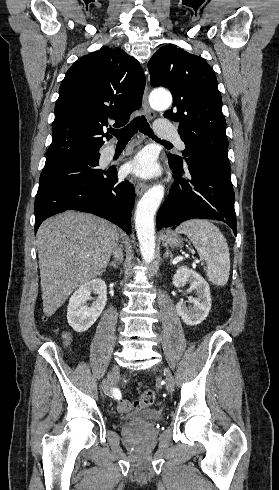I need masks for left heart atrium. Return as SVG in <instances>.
Returning a JSON list of instances; mask_svg holds the SVG:
<instances>
[{
    "mask_svg": "<svg viewBox=\"0 0 279 490\" xmlns=\"http://www.w3.org/2000/svg\"><path fill=\"white\" fill-rule=\"evenodd\" d=\"M125 169L127 173L142 180H151L158 177L161 168L154 156L148 151H142L130 160Z\"/></svg>",
    "mask_w": 279,
    "mask_h": 490,
    "instance_id": "1",
    "label": "left heart atrium"
}]
</instances>
